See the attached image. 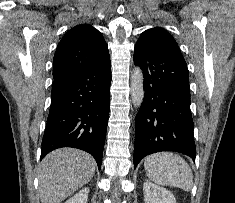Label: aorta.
Wrapping results in <instances>:
<instances>
[{
  "label": "aorta",
  "instance_id": "1",
  "mask_svg": "<svg viewBox=\"0 0 235 203\" xmlns=\"http://www.w3.org/2000/svg\"><path fill=\"white\" fill-rule=\"evenodd\" d=\"M144 77L140 67H135L131 73V98L135 108H139L144 99Z\"/></svg>",
  "mask_w": 235,
  "mask_h": 203
}]
</instances>
